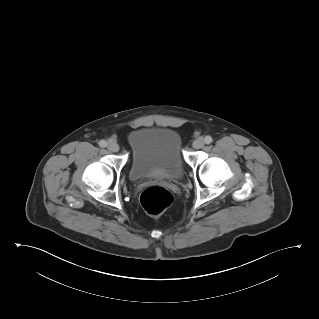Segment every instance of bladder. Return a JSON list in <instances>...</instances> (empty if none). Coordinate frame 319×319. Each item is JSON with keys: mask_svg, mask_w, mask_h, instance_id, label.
<instances>
[{"mask_svg": "<svg viewBox=\"0 0 319 319\" xmlns=\"http://www.w3.org/2000/svg\"><path fill=\"white\" fill-rule=\"evenodd\" d=\"M131 151L129 177L139 181L161 176L179 179L185 171L180 135L173 129L146 127L132 131L127 137Z\"/></svg>", "mask_w": 319, "mask_h": 319, "instance_id": "31cf9c89", "label": "bladder"}]
</instances>
